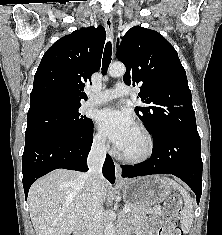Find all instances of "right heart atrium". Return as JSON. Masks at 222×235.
Masks as SVG:
<instances>
[{
  "instance_id": "obj_1",
  "label": "right heart atrium",
  "mask_w": 222,
  "mask_h": 235,
  "mask_svg": "<svg viewBox=\"0 0 222 235\" xmlns=\"http://www.w3.org/2000/svg\"><path fill=\"white\" fill-rule=\"evenodd\" d=\"M93 146L98 151H104L106 149V139L101 133L97 132L94 134Z\"/></svg>"
}]
</instances>
